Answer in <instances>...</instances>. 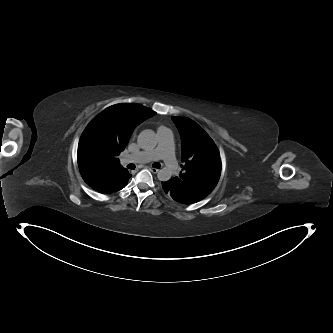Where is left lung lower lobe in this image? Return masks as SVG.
Returning <instances> with one entry per match:
<instances>
[{"label":"left lung lower lobe","mask_w":333,"mask_h":333,"mask_svg":"<svg viewBox=\"0 0 333 333\" xmlns=\"http://www.w3.org/2000/svg\"><path fill=\"white\" fill-rule=\"evenodd\" d=\"M161 190L168 197L181 204H193L198 202L195 199L191 198L189 195H187L185 192H183L180 188L174 187L171 183V180L162 182Z\"/></svg>","instance_id":"0a47b994"}]
</instances>
